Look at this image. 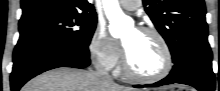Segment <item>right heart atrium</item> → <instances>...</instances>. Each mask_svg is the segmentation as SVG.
<instances>
[{
	"label": "right heart atrium",
	"instance_id": "1",
	"mask_svg": "<svg viewBox=\"0 0 220 91\" xmlns=\"http://www.w3.org/2000/svg\"><path fill=\"white\" fill-rule=\"evenodd\" d=\"M88 51L94 62L105 70H111L119 62V42L107 31L105 25L97 24L88 42Z\"/></svg>",
	"mask_w": 220,
	"mask_h": 91
}]
</instances>
